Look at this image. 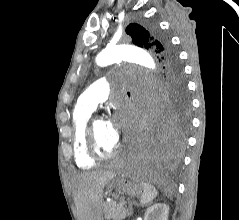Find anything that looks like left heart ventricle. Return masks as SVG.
<instances>
[{"label": "left heart ventricle", "mask_w": 239, "mask_h": 220, "mask_svg": "<svg viewBox=\"0 0 239 220\" xmlns=\"http://www.w3.org/2000/svg\"><path fill=\"white\" fill-rule=\"evenodd\" d=\"M94 132L100 151L109 152L113 150L118 140L110 133L108 121L98 119L94 123Z\"/></svg>", "instance_id": "left-heart-ventricle-1"}]
</instances>
